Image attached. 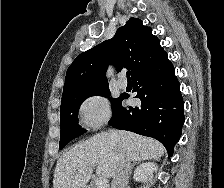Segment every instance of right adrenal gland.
Listing matches in <instances>:
<instances>
[{"label": "right adrenal gland", "mask_w": 224, "mask_h": 188, "mask_svg": "<svg viewBox=\"0 0 224 188\" xmlns=\"http://www.w3.org/2000/svg\"><path fill=\"white\" fill-rule=\"evenodd\" d=\"M139 163H141V161H137V162H134V163H133V165L131 166V173H132V169L134 168V166H135L136 164H139Z\"/></svg>", "instance_id": "2a0ac1e0"}]
</instances>
